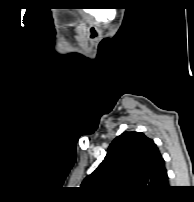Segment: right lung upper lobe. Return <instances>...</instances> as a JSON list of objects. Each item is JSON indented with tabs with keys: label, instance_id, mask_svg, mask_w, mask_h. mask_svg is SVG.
<instances>
[{
	"label": "right lung upper lobe",
	"instance_id": "1",
	"mask_svg": "<svg viewBox=\"0 0 194 202\" xmlns=\"http://www.w3.org/2000/svg\"><path fill=\"white\" fill-rule=\"evenodd\" d=\"M168 184L165 161L153 140L140 132H124L82 185L103 196L151 197Z\"/></svg>",
	"mask_w": 194,
	"mask_h": 202
}]
</instances>
